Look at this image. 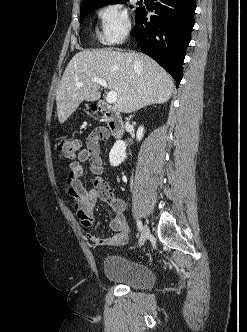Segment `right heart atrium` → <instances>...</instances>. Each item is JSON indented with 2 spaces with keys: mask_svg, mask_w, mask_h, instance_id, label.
<instances>
[{
  "mask_svg": "<svg viewBox=\"0 0 247 332\" xmlns=\"http://www.w3.org/2000/svg\"><path fill=\"white\" fill-rule=\"evenodd\" d=\"M101 39L108 45L123 42L131 29L127 9L119 2H110L98 11Z\"/></svg>",
  "mask_w": 247,
  "mask_h": 332,
  "instance_id": "obj_1",
  "label": "right heart atrium"
}]
</instances>
